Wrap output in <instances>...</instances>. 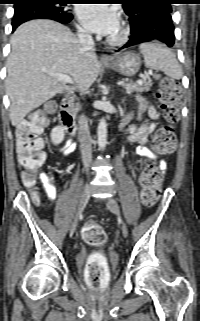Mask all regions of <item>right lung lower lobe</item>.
Returning a JSON list of instances; mask_svg holds the SVG:
<instances>
[{
  "label": "right lung lower lobe",
  "instance_id": "1",
  "mask_svg": "<svg viewBox=\"0 0 200 321\" xmlns=\"http://www.w3.org/2000/svg\"><path fill=\"white\" fill-rule=\"evenodd\" d=\"M32 19H51L62 24L72 21L73 15L70 12H56L53 9L43 6H22L15 8L12 18V32L22 23Z\"/></svg>",
  "mask_w": 200,
  "mask_h": 321
}]
</instances>
